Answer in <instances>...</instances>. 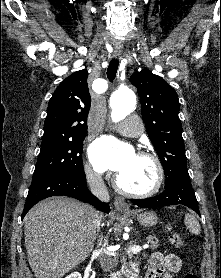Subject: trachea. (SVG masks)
<instances>
[{
  "label": "trachea",
  "mask_w": 221,
  "mask_h": 278,
  "mask_svg": "<svg viewBox=\"0 0 221 278\" xmlns=\"http://www.w3.org/2000/svg\"><path fill=\"white\" fill-rule=\"evenodd\" d=\"M118 65H119L118 59H112L109 63V66H108V69H107V77H108L110 82H113V80L116 77V73H117V70H118Z\"/></svg>",
  "instance_id": "trachea-1"
}]
</instances>
